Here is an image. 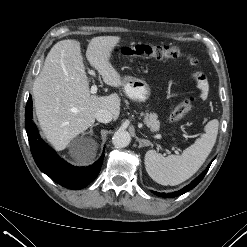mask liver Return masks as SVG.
Instances as JSON below:
<instances>
[{"label": "liver", "instance_id": "1", "mask_svg": "<svg viewBox=\"0 0 247 247\" xmlns=\"http://www.w3.org/2000/svg\"><path fill=\"white\" fill-rule=\"evenodd\" d=\"M119 36H99L89 41L86 58L102 76L105 84L123 86V79L112 66V51L120 42ZM36 115L41 129L58 151L83 133L95 122V113L106 109L116 120L120 114V97L91 95L83 64L80 42L67 39L57 42L48 53L44 66L33 84ZM96 156V145L76 156L79 164H88Z\"/></svg>", "mask_w": 247, "mask_h": 247}]
</instances>
